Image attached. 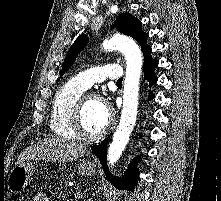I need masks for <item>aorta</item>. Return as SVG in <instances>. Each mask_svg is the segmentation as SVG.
I'll list each match as a JSON object with an SVG mask.
<instances>
[{
  "label": "aorta",
  "instance_id": "aorta-1",
  "mask_svg": "<svg viewBox=\"0 0 221 201\" xmlns=\"http://www.w3.org/2000/svg\"><path fill=\"white\" fill-rule=\"evenodd\" d=\"M104 50H119L126 59V76L123 90V108L119 125L108 149L107 160L113 166L123 153L133 131L138 108L139 81L142 54L138 45L129 37L116 34L102 44Z\"/></svg>",
  "mask_w": 221,
  "mask_h": 201
}]
</instances>
